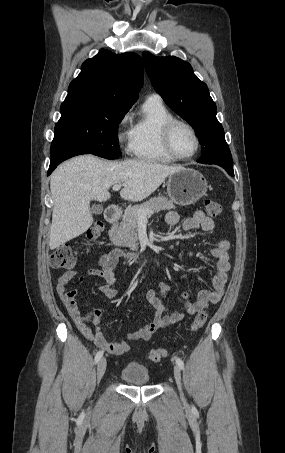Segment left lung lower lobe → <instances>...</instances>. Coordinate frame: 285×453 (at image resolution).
<instances>
[{
    "mask_svg": "<svg viewBox=\"0 0 285 453\" xmlns=\"http://www.w3.org/2000/svg\"><path fill=\"white\" fill-rule=\"evenodd\" d=\"M220 166V165H219ZM222 167V166H221ZM231 175L234 176L233 167H223Z\"/></svg>",
    "mask_w": 285,
    "mask_h": 453,
    "instance_id": "1",
    "label": "left lung lower lobe"
}]
</instances>
